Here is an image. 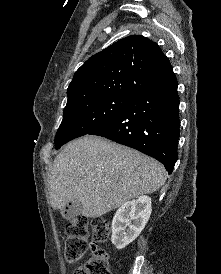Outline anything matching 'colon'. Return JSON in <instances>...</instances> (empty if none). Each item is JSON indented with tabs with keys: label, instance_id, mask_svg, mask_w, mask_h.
<instances>
[{
	"label": "colon",
	"instance_id": "colon-1",
	"mask_svg": "<svg viewBox=\"0 0 221 274\" xmlns=\"http://www.w3.org/2000/svg\"><path fill=\"white\" fill-rule=\"evenodd\" d=\"M94 242L91 244V256L79 266L74 274H111L109 268V254L101 246L110 235V225L102 218L91 221ZM88 220L75 217L66 225L65 256L69 262L80 260L88 249Z\"/></svg>",
	"mask_w": 221,
	"mask_h": 274
}]
</instances>
